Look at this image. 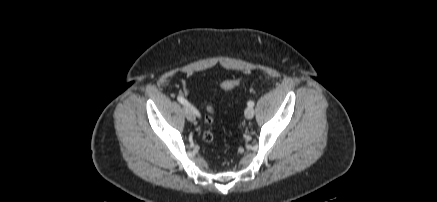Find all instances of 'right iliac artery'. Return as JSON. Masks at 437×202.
<instances>
[{"mask_svg": "<svg viewBox=\"0 0 437 202\" xmlns=\"http://www.w3.org/2000/svg\"><path fill=\"white\" fill-rule=\"evenodd\" d=\"M177 100H178L181 104H183L184 106H191V105L188 103V101H187L185 98H183L182 96H178V97H177ZM192 109L194 110V113H195L198 117H200L199 112H198L195 108H193V107H192Z\"/></svg>", "mask_w": 437, "mask_h": 202, "instance_id": "82829eb1", "label": "right iliac artery"}]
</instances>
